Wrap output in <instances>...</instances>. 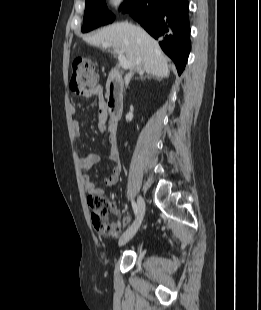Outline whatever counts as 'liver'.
Here are the masks:
<instances>
[{"label": "liver", "mask_w": 261, "mask_h": 310, "mask_svg": "<svg viewBox=\"0 0 261 310\" xmlns=\"http://www.w3.org/2000/svg\"><path fill=\"white\" fill-rule=\"evenodd\" d=\"M84 40L95 46L109 43L114 48L120 49L125 53L130 69L136 66L137 58L141 56L143 73L147 72L159 78L169 76L166 56L162 53L157 41L139 26L128 22L115 23L92 36L84 37Z\"/></svg>", "instance_id": "obj_1"}]
</instances>
